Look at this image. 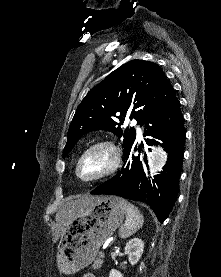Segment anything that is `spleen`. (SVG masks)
Returning <instances> with one entry per match:
<instances>
[{"mask_svg": "<svg viewBox=\"0 0 221 277\" xmlns=\"http://www.w3.org/2000/svg\"><path fill=\"white\" fill-rule=\"evenodd\" d=\"M121 203L125 209L126 221L124 225L121 226L119 235L121 238H127L143 226L144 218L138 208L133 204L126 200H121Z\"/></svg>", "mask_w": 221, "mask_h": 277, "instance_id": "obj_1", "label": "spleen"}]
</instances>
